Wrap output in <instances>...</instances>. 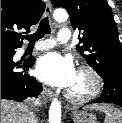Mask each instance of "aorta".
<instances>
[{
  "mask_svg": "<svg viewBox=\"0 0 122 123\" xmlns=\"http://www.w3.org/2000/svg\"><path fill=\"white\" fill-rule=\"evenodd\" d=\"M54 19L58 22H64L68 19V14L64 9L54 11ZM49 123H61V104L58 100L52 101L49 108Z\"/></svg>",
  "mask_w": 122,
  "mask_h": 123,
  "instance_id": "762f6f07",
  "label": "aorta"
}]
</instances>
